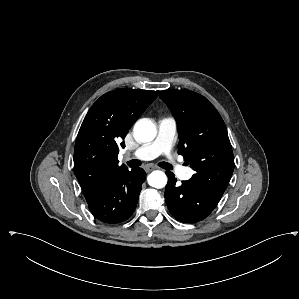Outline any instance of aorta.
I'll return each mask as SVG.
<instances>
[{
	"mask_svg": "<svg viewBox=\"0 0 299 299\" xmlns=\"http://www.w3.org/2000/svg\"><path fill=\"white\" fill-rule=\"evenodd\" d=\"M155 136L156 127L151 121L147 119H142L136 122L134 126V137L137 141L149 142L152 141L155 138ZM147 180L148 184L151 187L160 189L165 187L167 183V176L164 172L156 170L148 176Z\"/></svg>",
	"mask_w": 299,
	"mask_h": 299,
	"instance_id": "obj_1",
	"label": "aorta"
}]
</instances>
